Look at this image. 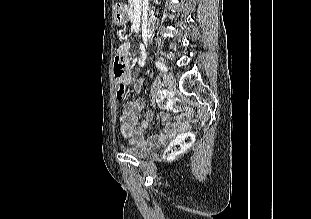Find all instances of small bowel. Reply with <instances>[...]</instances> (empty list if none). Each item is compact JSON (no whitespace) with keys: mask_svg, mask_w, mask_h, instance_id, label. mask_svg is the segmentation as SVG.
I'll list each match as a JSON object with an SVG mask.
<instances>
[{"mask_svg":"<svg viewBox=\"0 0 311 219\" xmlns=\"http://www.w3.org/2000/svg\"><path fill=\"white\" fill-rule=\"evenodd\" d=\"M117 53L120 56L128 57L130 54V46L128 43H122ZM126 85L132 82V73L127 71L125 74ZM143 78H138L134 83V91L137 92L141 88ZM144 101L142 98H135L134 100L128 101L123 107V116L121 120L120 132L121 135L129 140L131 143H138L143 141V136L146 130L151 127L154 120V113L147 111L144 113V119L138 126L139 117L144 109ZM162 125L165 127V131L161 136H153L150 141H155L160 137H172L177 132L184 129V125L179 123L177 119L172 118L168 114H161Z\"/></svg>","mask_w":311,"mask_h":219,"instance_id":"obj_1","label":"small bowel"}]
</instances>
